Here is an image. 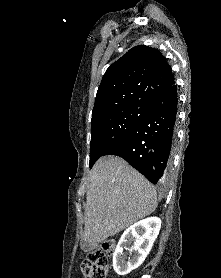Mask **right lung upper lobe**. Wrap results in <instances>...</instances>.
I'll return each mask as SVG.
<instances>
[{
  "mask_svg": "<svg viewBox=\"0 0 221 278\" xmlns=\"http://www.w3.org/2000/svg\"><path fill=\"white\" fill-rule=\"evenodd\" d=\"M175 83L165 57L154 48L130 49L104 74L97 91L92 118L147 98Z\"/></svg>",
  "mask_w": 221,
  "mask_h": 278,
  "instance_id": "right-lung-upper-lobe-1",
  "label": "right lung upper lobe"
}]
</instances>
